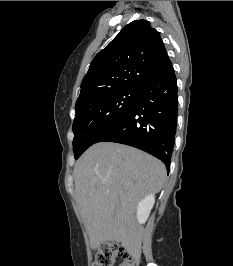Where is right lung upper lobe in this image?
<instances>
[{
    "instance_id": "right-lung-upper-lobe-1",
    "label": "right lung upper lobe",
    "mask_w": 233,
    "mask_h": 266,
    "mask_svg": "<svg viewBox=\"0 0 233 266\" xmlns=\"http://www.w3.org/2000/svg\"><path fill=\"white\" fill-rule=\"evenodd\" d=\"M171 65L159 32L146 20L133 21L94 57L76 104L107 91L141 90Z\"/></svg>"
}]
</instances>
